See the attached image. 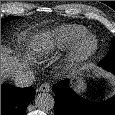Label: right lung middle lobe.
<instances>
[{
  "label": "right lung middle lobe",
  "mask_w": 115,
  "mask_h": 115,
  "mask_svg": "<svg viewBox=\"0 0 115 115\" xmlns=\"http://www.w3.org/2000/svg\"><path fill=\"white\" fill-rule=\"evenodd\" d=\"M15 18H16V16H11V17H7V18H2V19H1V25L4 24V23H6V22H8V21H10V20H12V19H15Z\"/></svg>",
  "instance_id": "1"
}]
</instances>
